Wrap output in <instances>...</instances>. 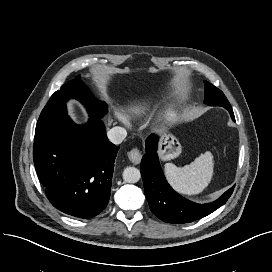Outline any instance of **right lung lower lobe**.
<instances>
[{"label": "right lung lower lobe", "instance_id": "right-lung-lower-lobe-1", "mask_svg": "<svg viewBox=\"0 0 272 272\" xmlns=\"http://www.w3.org/2000/svg\"><path fill=\"white\" fill-rule=\"evenodd\" d=\"M118 150L100 119L90 118L80 126L68 117L36 126L34 165L53 206L78 218H91L104 210Z\"/></svg>", "mask_w": 272, "mask_h": 272}]
</instances>
